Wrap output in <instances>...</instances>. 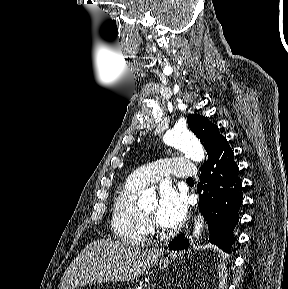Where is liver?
Returning <instances> with one entry per match:
<instances>
[{
    "label": "liver",
    "instance_id": "1",
    "mask_svg": "<svg viewBox=\"0 0 288 289\" xmlns=\"http://www.w3.org/2000/svg\"><path fill=\"white\" fill-rule=\"evenodd\" d=\"M163 250L144 249L118 240L100 239L88 244L65 270L60 289L93 283L133 280L154 266Z\"/></svg>",
    "mask_w": 288,
    "mask_h": 289
}]
</instances>
